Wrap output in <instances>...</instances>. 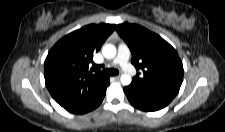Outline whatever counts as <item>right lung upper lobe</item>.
<instances>
[{
    "mask_svg": "<svg viewBox=\"0 0 225 132\" xmlns=\"http://www.w3.org/2000/svg\"><path fill=\"white\" fill-rule=\"evenodd\" d=\"M115 27L104 23L84 26L49 51L44 63L45 83L64 109L74 112L92 107L108 86L109 78L100 75L101 66L93 62V53L100 50Z\"/></svg>",
    "mask_w": 225,
    "mask_h": 132,
    "instance_id": "1",
    "label": "right lung upper lobe"
}]
</instances>
